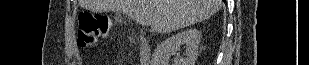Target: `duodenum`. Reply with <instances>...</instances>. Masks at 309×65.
<instances>
[{"mask_svg": "<svg viewBox=\"0 0 309 65\" xmlns=\"http://www.w3.org/2000/svg\"><path fill=\"white\" fill-rule=\"evenodd\" d=\"M140 59L142 65H146L149 60V46L145 40L141 42Z\"/></svg>", "mask_w": 309, "mask_h": 65, "instance_id": "1", "label": "duodenum"}]
</instances>
